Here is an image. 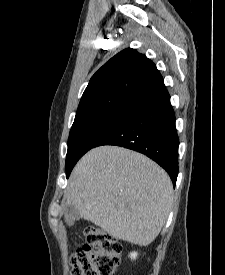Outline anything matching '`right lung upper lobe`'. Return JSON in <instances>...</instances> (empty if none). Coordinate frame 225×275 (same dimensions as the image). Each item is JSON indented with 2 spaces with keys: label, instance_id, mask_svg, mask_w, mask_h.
Masks as SVG:
<instances>
[{
  "label": "right lung upper lobe",
  "instance_id": "right-lung-upper-lobe-1",
  "mask_svg": "<svg viewBox=\"0 0 225 275\" xmlns=\"http://www.w3.org/2000/svg\"><path fill=\"white\" fill-rule=\"evenodd\" d=\"M168 95L155 64L135 49H125L92 76L75 120L105 112L129 114Z\"/></svg>",
  "mask_w": 225,
  "mask_h": 275
}]
</instances>
